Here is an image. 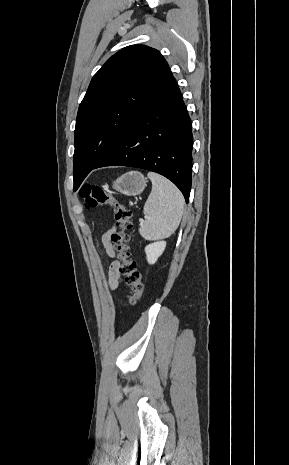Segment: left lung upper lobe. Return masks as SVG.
<instances>
[{
    "instance_id": "left-lung-upper-lobe-1",
    "label": "left lung upper lobe",
    "mask_w": 289,
    "mask_h": 465,
    "mask_svg": "<svg viewBox=\"0 0 289 465\" xmlns=\"http://www.w3.org/2000/svg\"><path fill=\"white\" fill-rule=\"evenodd\" d=\"M170 77L159 51L144 45L123 48L93 76L76 119L74 191Z\"/></svg>"
}]
</instances>
